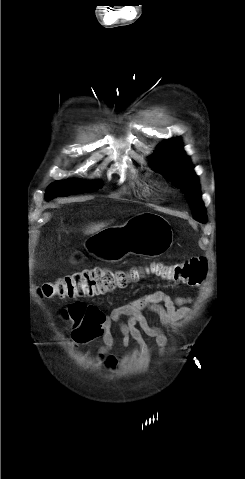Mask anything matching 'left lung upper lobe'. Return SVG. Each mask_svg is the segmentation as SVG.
Instances as JSON below:
<instances>
[{"instance_id":"1","label":"left lung upper lobe","mask_w":245,"mask_h":479,"mask_svg":"<svg viewBox=\"0 0 245 479\" xmlns=\"http://www.w3.org/2000/svg\"><path fill=\"white\" fill-rule=\"evenodd\" d=\"M151 168L168 176L181 189L192 210L195 220L206 223V210L200 196L198 177L193 171L189 158L182 149L179 138L162 142L150 158Z\"/></svg>"}]
</instances>
